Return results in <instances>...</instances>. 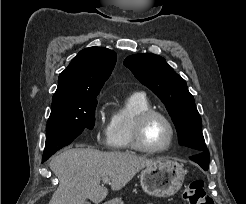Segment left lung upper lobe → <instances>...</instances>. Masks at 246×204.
Masks as SVG:
<instances>
[{
	"instance_id": "5c2ea615",
	"label": "left lung upper lobe",
	"mask_w": 246,
	"mask_h": 204,
	"mask_svg": "<svg viewBox=\"0 0 246 204\" xmlns=\"http://www.w3.org/2000/svg\"><path fill=\"white\" fill-rule=\"evenodd\" d=\"M135 77L152 90L165 104L175 124L179 144L196 151L206 150L201 132V117L186 82L161 56L135 54L124 60Z\"/></svg>"
}]
</instances>
